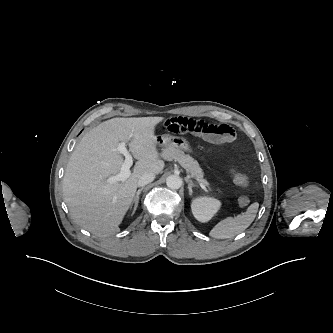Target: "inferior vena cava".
<instances>
[{
  "label": "inferior vena cava",
  "mask_w": 333,
  "mask_h": 333,
  "mask_svg": "<svg viewBox=\"0 0 333 333\" xmlns=\"http://www.w3.org/2000/svg\"><path fill=\"white\" fill-rule=\"evenodd\" d=\"M154 179H155L154 173H151V172L145 173L140 177V179L138 181V186L143 187V186L151 183Z\"/></svg>",
  "instance_id": "602c4592"
}]
</instances>
